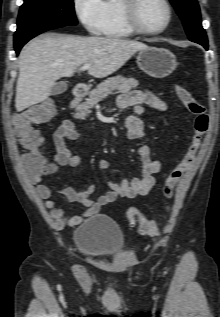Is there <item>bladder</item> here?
<instances>
[{
	"label": "bladder",
	"mask_w": 220,
	"mask_h": 317,
	"mask_svg": "<svg viewBox=\"0 0 220 317\" xmlns=\"http://www.w3.org/2000/svg\"><path fill=\"white\" fill-rule=\"evenodd\" d=\"M74 243L83 254L104 259L120 254L125 248L121 228L109 217L92 215L73 232Z\"/></svg>",
	"instance_id": "1"
}]
</instances>
